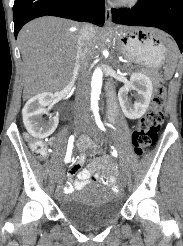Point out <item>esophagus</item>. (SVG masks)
<instances>
[{"mask_svg": "<svg viewBox=\"0 0 183 246\" xmlns=\"http://www.w3.org/2000/svg\"><path fill=\"white\" fill-rule=\"evenodd\" d=\"M105 19H106V23L111 22V5L109 2L105 3Z\"/></svg>", "mask_w": 183, "mask_h": 246, "instance_id": "1", "label": "esophagus"}]
</instances>
